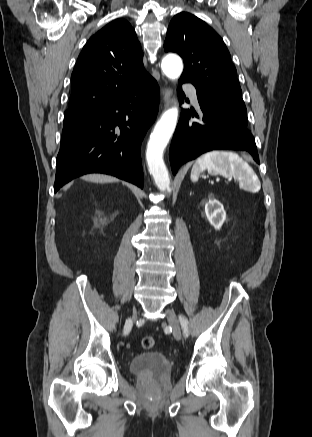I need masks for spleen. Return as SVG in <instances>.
Segmentation results:
<instances>
[{"instance_id":"3e777b00","label":"spleen","mask_w":312,"mask_h":437,"mask_svg":"<svg viewBox=\"0 0 312 437\" xmlns=\"http://www.w3.org/2000/svg\"><path fill=\"white\" fill-rule=\"evenodd\" d=\"M205 169L210 174L238 179L249 191L257 192L261 185L253 169L238 154L230 151H211L200 156L191 170V180L196 182Z\"/></svg>"}]
</instances>
